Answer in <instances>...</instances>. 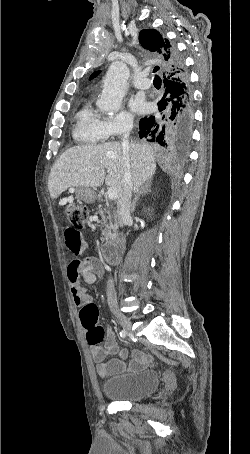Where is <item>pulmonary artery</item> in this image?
<instances>
[{
	"label": "pulmonary artery",
	"mask_w": 250,
	"mask_h": 454,
	"mask_svg": "<svg viewBox=\"0 0 250 454\" xmlns=\"http://www.w3.org/2000/svg\"><path fill=\"white\" fill-rule=\"evenodd\" d=\"M134 87L137 89H147L151 86V80L145 77V74L140 75L134 80Z\"/></svg>",
	"instance_id": "pulmonary-artery-1"
}]
</instances>
